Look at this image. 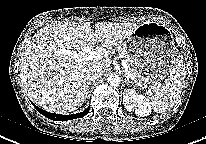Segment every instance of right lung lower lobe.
Masks as SVG:
<instances>
[{"label": "right lung lower lobe", "mask_w": 206, "mask_h": 144, "mask_svg": "<svg viewBox=\"0 0 206 144\" xmlns=\"http://www.w3.org/2000/svg\"><path fill=\"white\" fill-rule=\"evenodd\" d=\"M34 107L44 116H46L47 118L51 119V120H56V121H66V120H71V119H75V118H79V117H83L84 115H86L89 112V108L85 109L83 112L81 113H77V114H72V115H60V114H54V113H50L47 112L45 110H42L38 107H36L34 105Z\"/></svg>", "instance_id": "1"}]
</instances>
